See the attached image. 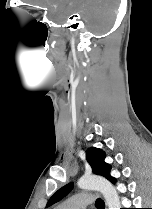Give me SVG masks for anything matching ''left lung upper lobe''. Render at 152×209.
Returning a JSON list of instances; mask_svg holds the SVG:
<instances>
[{
    "instance_id": "5c2ea615",
    "label": "left lung upper lobe",
    "mask_w": 152,
    "mask_h": 209,
    "mask_svg": "<svg viewBox=\"0 0 152 209\" xmlns=\"http://www.w3.org/2000/svg\"><path fill=\"white\" fill-rule=\"evenodd\" d=\"M105 153L98 148L91 147L86 151V160L90 164L94 174L105 177L107 180L115 184L116 179L110 175L111 166L105 161ZM73 188V183H69L58 191H56L47 203V207L61 200Z\"/></svg>"
}]
</instances>
